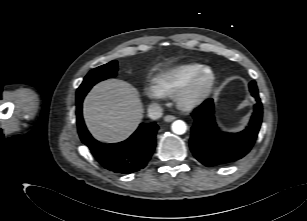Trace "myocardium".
Returning <instances> with one entry per match:
<instances>
[{
    "instance_id": "1",
    "label": "myocardium",
    "mask_w": 307,
    "mask_h": 221,
    "mask_svg": "<svg viewBox=\"0 0 307 221\" xmlns=\"http://www.w3.org/2000/svg\"><path fill=\"white\" fill-rule=\"evenodd\" d=\"M216 83L212 68L205 66L179 92L177 104L181 109L190 110L203 103L211 94Z\"/></svg>"
}]
</instances>
